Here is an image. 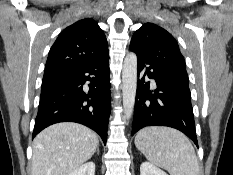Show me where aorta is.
<instances>
[{
    "instance_id": "762f6f07",
    "label": "aorta",
    "mask_w": 233,
    "mask_h": 175,
    "mask_svg": "<svg viewBox=\"0 0 233 175\" xmlns=\"http://www.w3.org/2000/svg\"><path fill=\"white\" fill-rule=\"evenodd\" d=\"M137 88V56L130 52L126 55L122 71V95L124 117L132 116Z\"/></svg>"
}]
</instances>
